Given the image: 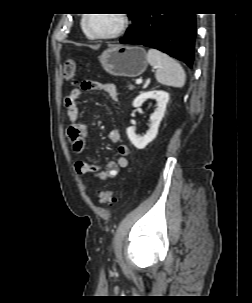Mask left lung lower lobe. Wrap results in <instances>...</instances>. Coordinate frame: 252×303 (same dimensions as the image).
Wrapping results in <instances>:
<instances>
[{
  "mask_svg": "<svg viewBox=\"0 0 252 303\" xmlns=\"http://www.w3.org/2000/svg\"><path fill=\"white\" fill-rule=\"evenodd\" d=\"M196 18L194 13H141L133 31L122 44H142L183 61L192 68L195 55Z\"/></svg>",
  "mask_w": 252,
  "mask_h": 303,
  "instance_id": "left-lung-lower-lobe-1",
  "label": "left lung lower lobe"
}]
</instances>
